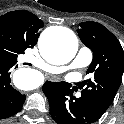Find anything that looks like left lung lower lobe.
I'll return each instance as SVG.
<instances>
[{"instance_id": "0a47b994", "label": "left lung lower lobe", "mask_w": 124, "mask_h": 124, "mask_svg": "<svg viewBox=\"0 0 124 124\" xmlns=\"http://www.w3.org/2000/svg\"><path fill=\"white\" fill-rule=\"evenodd\" d=\"M48 98L50 114L57 124H92L103 114L83 94L80 98L72 96L71 85L66 82H49L43 85Z\"/></svg>"}]
</instances>
